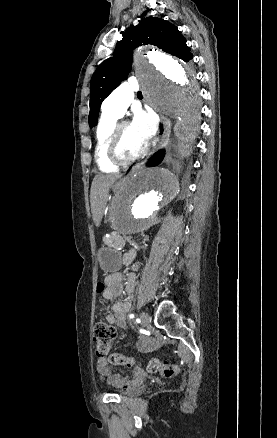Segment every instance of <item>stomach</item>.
Masks as SVG:
<instances>
[{"instance_id": "obj_1", "label": "stomach", "mask_w": 277, "mask_h": 438, "mask_svg": "<svg viewBox=\"0 0 277 438\" xmlns=\"http://www.w3.org/2000/svg\"><path fill=\"white\" fill-rule=\"evenodd\" d=\"M98 261L103 271L115 272L120 267V253L112 248L102 247L98 251Z\"/></svg>"}]
</instances>
